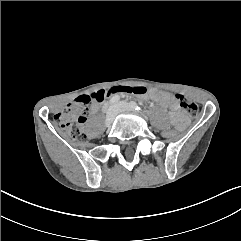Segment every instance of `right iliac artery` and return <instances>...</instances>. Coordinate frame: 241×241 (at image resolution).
<instances>
[{
  "mask_svg": "<svg viewBox=\"0 0 241 241\" xmlns=\"http://www.w3.org/2000/svg\"><path fill=\"white\" fill-rule=\"evenodd\" d=\"M120 97L118 95L113 96L111 100L109 101V105L117 103L119 101Z\"/></svg>",
  "mask_w": 241,
  "mask_h": 241,
  "instance_id": "right-iliac-artery-1",
  "label": "right iliac artery"
}]
</instances>
